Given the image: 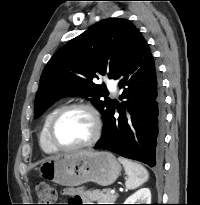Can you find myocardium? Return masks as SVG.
Instances as JSON below:
<instances>
[{"label": "myocardium", "mask_w": 200, "mask_h": 205, "mask_svg": "<svg viewBox=\"0 0 200 205\" xmlns=\"http://www.w3.org/2000/svg\"><path fill=\"white\" fill-rule=\"evenodd\" d=\"M73 109H81V110H85L86 112H88V114L91 117L92 123H93V132H92L91 137L85 142H82L80 144L73 145V146H63V145H60L56 141L54 137V128H55L57 121L60 119V117L66 112L73 110ZM102 131H103V121H102L101 114L98 111V109L94 105L87 103V102H74V103H70V104L62 106L53 115L49 123V126H48V139L51 145L56 150L74 151V150H79V149H83L86 147H90L94 145L95 143H97L102 135Z\"/></svg>", "instance_id": "obj_1"}]
</instances>
